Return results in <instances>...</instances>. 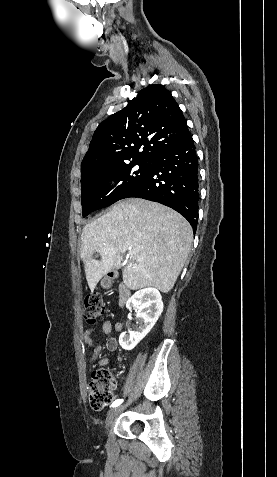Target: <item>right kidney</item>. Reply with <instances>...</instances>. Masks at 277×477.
<instances>
[{"mask_svg":"<svg viewBox=\"0 0 277 477\" xmlns=\"http://www.w3.org/2000/svg\"><path fill=\"white\" fill-rule=\"evenodd\" d=\"M126 308L136 310V317L143 324L137 331L121 333L119 344L125 350H132L150 332L163 311L160 292L153 287L144 288L132 295L126 303Z\"/></svg>","mask_w":277,"mask_h":477,"instance_id":"obj_1","label":"right kidney"}]
</instances>
